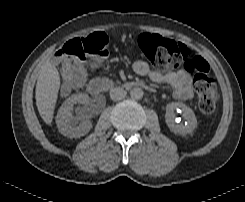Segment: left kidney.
I'll return each mask as SVG.
<instances>
[{
    "label": "left kidney",
    "mask_w": 245,
    "mask_h": 202,
    "mask_svg": "<svg viewBox=\"0 0 245 202\" xmlns=\"http://www.w3.org/2000/svg\"><path fill=\"white\" fill-rule=\"evenodd\" d=\"M183 113L185 124L176 121L175 111ZM165 122L170 131L179 135L191 134L197 127V119L191 108L180 102H172L166 106Z\"/></svg>",
    "instance_id": "left-kidney-1"
}]
</instances>
